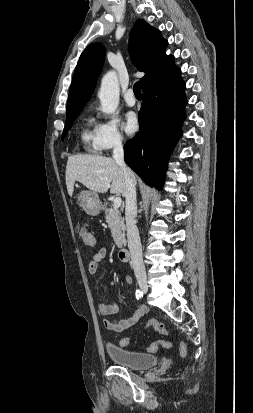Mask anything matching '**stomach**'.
I'll list each match as a JSON object with an SVG mask.
<instances>
[{
    "label": "stomach",
    "instance_id": "obj_1",
    "mask_svg": "<svg viewBox=\"0 0 253 413\" xmlns=\"http://www.w3.org/2000/svg\"><path fill=\"white\" fill-rule=\"evenodd\" d=\"M78 200L81 201L85 212L91 216L98 215L102 209L99 196L96 192L82 191L78 195Z\"/></svg>",
    "mask_w": 253,
    "mask_h": 413
}]
</instances>
